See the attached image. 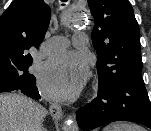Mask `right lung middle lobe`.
<instances>
[{
	"mask_svg": "<svg viewBox=\"0 0 151 131\" xmlns=\"http://www.w3.org/2000/svg\"><path fill=\"white\" fill-rule=\"evenodd\" d=\"M32 61V57L27 54H0V76L12 82L33 77L34 75L28 72Z\"/></svg>",
	"mask_w": 151,
	"mask_h": 131,
	"instance_id": "dd1d6c3e",
	"label": "right lung middle lobe"
}]
</instances>
